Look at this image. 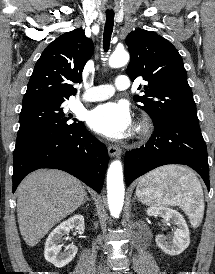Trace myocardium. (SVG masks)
Instances as JSON below:
<instances>
[{"label":"myocardium","instance_id":"1","mask_svg":"<svg viewBox=\"0 0 215 274\" xmlns=\"http://www.w3.org/2000/svg\"><path fill=\"white\" fill-rule=\"evenodd\" d=\"M151 123L148 119H142L136 127V135L140 138H144L150 134Z\"/></svg>","mask_w":215,"mask_h":274}]
</instances>
